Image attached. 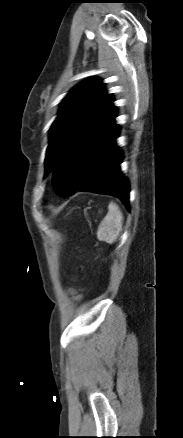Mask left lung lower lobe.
<instances>
[{"label":"left lung lower lobe","instance_id":"0a47b994","mask_svg":"<svg viewBox=\"0 0 183 438\" xmlns=\"http://www.w3.org/2000/svg\"><path fill=\"white\" fill-rule=\"evenodd\" d=\"M115 115L73 147L53 171L52 185L61 196L89 191L119 198L129 209V183L120 171L122 152Z\"/></svg>","mask_w":183,"mask_h":438}]
</instances>
